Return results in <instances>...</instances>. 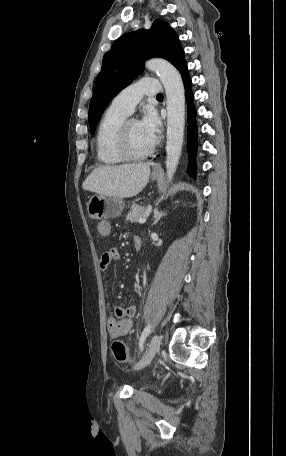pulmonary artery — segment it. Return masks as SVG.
<instances>
[{
	"mask_svg": "<svg viewBox=\"0 0 286 456\" xmlns=\"http://www.w3.org/2000/svg\"><path fill=\"white\" fill-rule=\"evenodd\" d=\"M159 93V82L154 77H143L127 86L112 100L111 106L127 114H131L138 102L145 96Z\"/></svg>",
	"mask_w": 286,
	"mask_h": 456,
	"instance_id": "e3ab8cb5",
	"label": "pulmonary artery"
}]
</instances>
